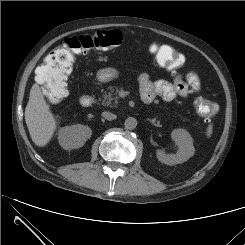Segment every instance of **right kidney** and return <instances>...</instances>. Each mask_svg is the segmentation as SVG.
I'll return each mask as SVG.
<instances>
[{"label": "right kidney", "instance_id": "ca27d5eb", "mask_svg": "<svg viewBox=\"0 0 245 245\" xmlns=\"http://www.w3.org/2000/svg\"><path fill=\"white\" fill-rule=\"evenodd\" d=\"M92 130L85 125H72L62 128L58 133L59 144L66 150L82 147L91 137Z\"/></svg>", "mask_w": 245, "mask_h": 245}]
</instances>
